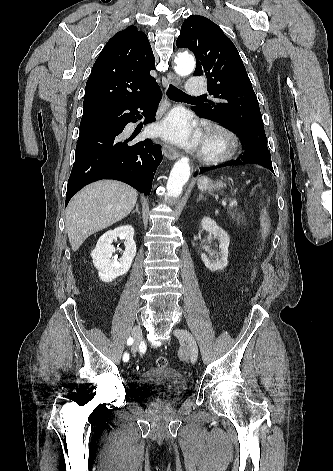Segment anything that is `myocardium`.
<instances>
[{
	"label": "myocardium",
	"instance_id": "f54148a6",
	"mask_svg": "<svg viewBox=\"0 0 333 471\" xmlns=\"http://www.w3.org/2000/svg\"><path fill=\"white\" fill-rule=\"evenodd\" d=\"M239 148L237 136L221 125L209 126L199 151L200 159L207 164H217L231 159Z\"/></svg>",
	"mask_w": 333,
	"mask_h": 471
}]
</instances>
